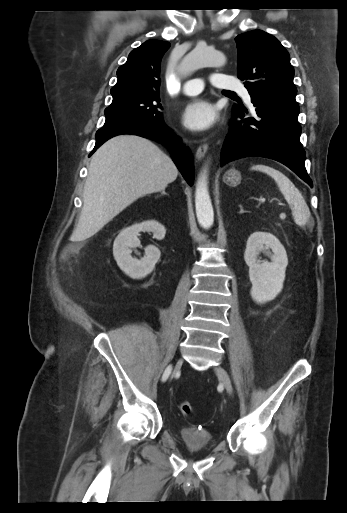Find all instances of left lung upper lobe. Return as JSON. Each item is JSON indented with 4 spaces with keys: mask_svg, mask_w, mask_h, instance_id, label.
<instances>
[{
    "mask_svg": "<svg viewBox=\"0 0 347 513\" xmlns=\"http://www.w3.org/2000/svg\"><path fill=\"white\" fill-rule=\"evenodd\" d=\"M237 74L251 96L295 97L294 69L287 50L274 36L253 30L238 35Z\"/></svg>",
    "mask_w": 347,
    "mask_h": 513,
    "instance_id": "1",
    "label": "left lung upper lobe"
}]
</instances>
